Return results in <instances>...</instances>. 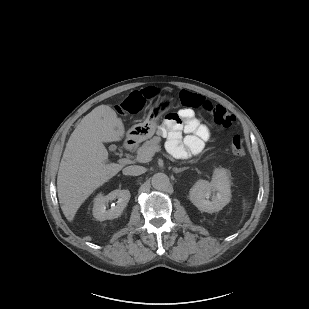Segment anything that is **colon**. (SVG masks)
Returning a JSON list of instances; mask_svg holds the SVG:
<instances>
[{
	"label": "colon",
	"mask_w": 309,
	"mask_h": 309,
	"mask_svg": "<svg viewBox=\"0 0 309 309\" xmlns=\"http://www.w3.org/2000/svg\"><path fill=\"white\" fill-rule=\"evenodd\" d=\"M158 93L157 89H149L145 95L132 94L124 102L117 106V110L121 114H137L144 106L145 100L154 98ZM178 98L182 106L200 110L205 115L210 116L213 121L224 128H229L234 122V117L226 108L217 105L207 100L205 97L190 92L188 90H181L178 93ZM231 151L236 156H242L245 153L244 140L241 135H234L230 145Z\"/></svg>",
	"instance_id": "colon-1"
}]
</instances>
